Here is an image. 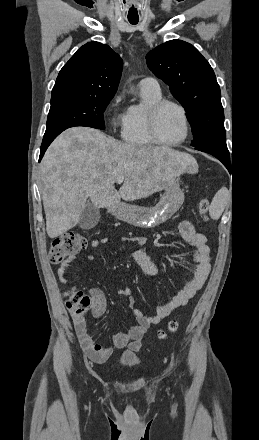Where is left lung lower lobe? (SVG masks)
<instances>
[{
  "mask_svg": "<svg viewBox=\"0 0 259 440\" xmlns=\"http://www.w3.org/2000/svg\"><path fill=\"white\" fill-rule=\"evenodd\" d=\"M195 149L202 152L209 153L218 158L229 170L230 155L226 143H212L195 147Z\"/></svg>",
  "mask_w": 259,
  "mask_h": 440,
  "instance_id": "0a47b994",
  "label": "left lung lower lobe"
}]
</instances>
